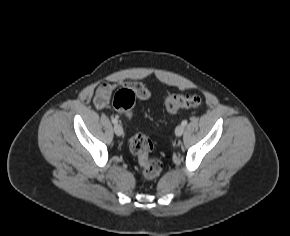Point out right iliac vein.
<instances>
[{
	"label": "right iliac vein",
	"mask_w": 290,
	"mask_h": 236,
	"mask_svg": "<svg viewBox=\"0 0 290 236\" xmlns=\"http://www.w3.org/2000/svg\"><path fill=\"white\" fill-rule=\"evenodd\" d=\"M114 132L117 136H122L123 135V127L120 124H116L114 126Z\"/></svg>",
	"instance_id": "63e3f726"
}]
</instances>
